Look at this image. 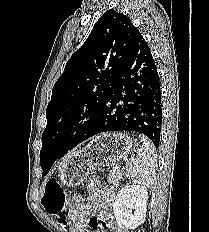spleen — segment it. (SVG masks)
<instances>
[{
  "mask_svg": "<svg viewBox=\"0 0 209 232\" xmlns=\"http://www.w3.org/2000/svg\"><path fill=\"white\" fill-rule=\"evenodd\" d=\"M142 146L137 156L126 162V171L131 178L136 179L145 187L154 184L157 168V154L153 143L144 135H140Z\"/></svg>",
  "mask_w": 209,
  "mask_h": 232,
  "instance_id": "3e777b00",
  "label": "spleen"
}]
</instances>
